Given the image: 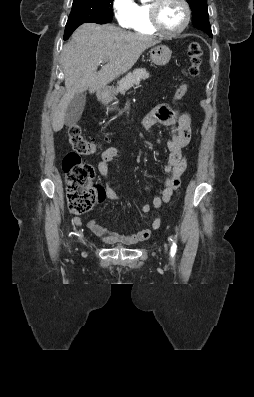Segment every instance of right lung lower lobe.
<instances>
[{"label":"right lung lower lobe","instance_id":"obj_1","mask_svg":"<svg viewBox=\"0 0 254 397\" xmlns=\"http://www.w3.org/2000/svg\"><path fill=\"white\" fill-rule=\"evenodd\" d=\"M81 24H83V23H75V24L66 26L65 34H64V40H67V39L69 38V36L73 33V31H74L78 26H80Z\"/></svg>","mask_w":254,"mask_h":397}]
</instances>
